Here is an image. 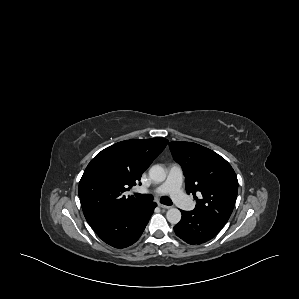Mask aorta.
Masks as SVG:
<instances>
[{
	"label": "aorta",
	"instance_id": "1",
	"mask_svg": "<svg viewBox=\"0 0 299 299\" xmlns=\"http://www.w3.org/2000/svg\"><path fill=\"white\" fill-rule=\"evenodd\" d=\"M149 177L156 183H161L166 179V171L160 165H154L149 170ZM166 218L171 224H178L181 220V212L177 208H170L166 213Z\"/></svg>",
	"mask_w": 299,
	"mask_h": 299
}]
</instances>
